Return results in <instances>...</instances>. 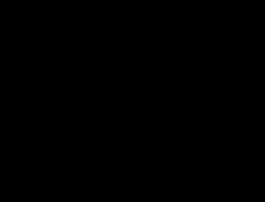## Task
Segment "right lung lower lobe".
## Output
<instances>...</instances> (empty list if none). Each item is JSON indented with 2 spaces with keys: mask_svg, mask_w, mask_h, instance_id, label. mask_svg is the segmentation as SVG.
Segmentation results:
<instances>
[{
  "mask_svg": "<svg viewBox=\"0 0 265 202\" xmlns=\"http://www.w3.org/2000/svg\"><path fill=\"white\" fill-rule=\"evenodd\" d=\"M50 104L60 122L69 120L71 107L77 105L82 128L68 133L58 127L53 137L82 159L105 154L118 125L133 113L132 105L122 97L120 83L114 79L68 81L55 88Z\"/></svg>",
  "mask_w": 265,
  "mask_h": 202,
  "instance_id": "obj_1",
  "label": "right lung lower lobe"
}]
</instances>
